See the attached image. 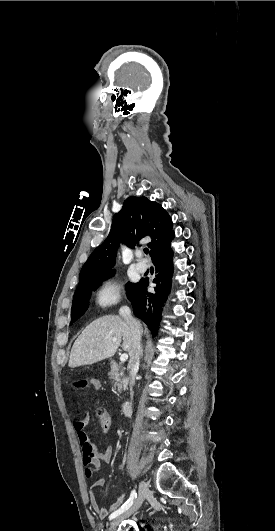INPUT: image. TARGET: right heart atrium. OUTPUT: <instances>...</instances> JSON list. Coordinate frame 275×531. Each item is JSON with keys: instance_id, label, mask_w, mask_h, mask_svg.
Here are the masks:
<instances>
[{"instance_id": "right-heart-atrium-1", "label": "right heart atrium", "mask_w": 275, "mask_h": 531, "mask_svg": "<svg viewBox=\"0 0 275 531\" xmlns=\"http://www.w3.org/2000/svg\"><path fill=\"white\" fill-rule=\"evenodd\" d=\"M119 293V287L117 282L113 280L105 281L97 291V299L100 305L106 306L113 304Z\"/></svg>"}]
</instances>
